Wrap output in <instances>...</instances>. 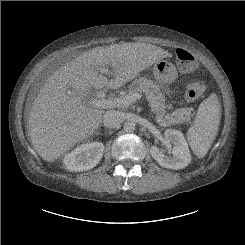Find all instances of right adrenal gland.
<instances>
[{"label":"right adrenal gland","mask_w":245,"mask_h":245,"mask_svg":"<svg viewBox=\"0 0 245 245\" xmlns=\"http://www.w3.org/2000/svg\"><path fill=\"white\" fill-rule=\"evenodd\" d=\"M100 134V132H97L96 135Z\"/></svg>","instance_id":"2a0ac1e0"}]
</instances>
